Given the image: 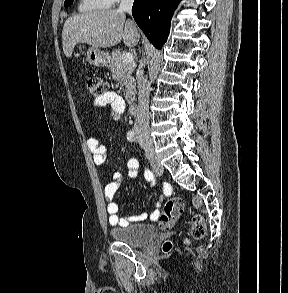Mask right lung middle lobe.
Returning <instances> with one entry per match:
<instances>
[{
  "label": "right lung middle lobe",
  "instance_id": "right-lung-middle-lobe-1",
  "mask_svg": "<svg viewBox=\"0 0 288 293\" xmlns=\"http://www.w3.org/2000/svg\"><path fill=\"white\" fill-rule=\"evenodd\" d=\"M72 2H73V0H65L64 6L68 7V6H70L72 4Z\"/></svg>",
  "mask_w": 288,
  "mask_h": 293
}]
</instances>
